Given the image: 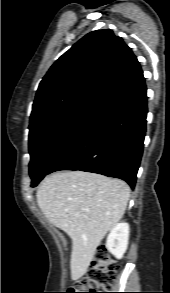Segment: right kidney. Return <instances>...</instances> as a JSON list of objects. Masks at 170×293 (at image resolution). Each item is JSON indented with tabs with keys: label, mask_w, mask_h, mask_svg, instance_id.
Listing matches in <instances>:
<instances>
[{
	"label": "right kidney",
	"mask_w": 170,
	"mask_h": 293,
	"mask_svg": "<svg viewBox=\"0 0 170 293\" xmlns=\"http://www.w3.org/2000/svg\"><path fill=\"white\" fill-rule=\"evenodd\" d=\"M129 240V224L126 222L117 223L110 231L106 247L116 258L121 259L127 250Z\"/></svg>",
	"instance_id": "obj_1"
}]
</instances>
